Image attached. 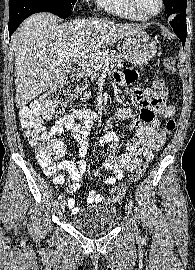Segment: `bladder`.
<instances>
[{
    "mask_svg": "<svg viewBox=\"0 0 195 270\" xmlns=\"http://www.w3.org/2000/svg\"><path fill=\"white\" fill-rule=\"evenodd\" d=\"M120 210L113 204L90 206L73 218V225L88 235H101L111 231L119 222Z\"/></svg>",
    "mask_w": 195,
    "mask_h": 270,
    "instance_id": "31cf9c89",
    "label": "bladder"
}]
</instances>
